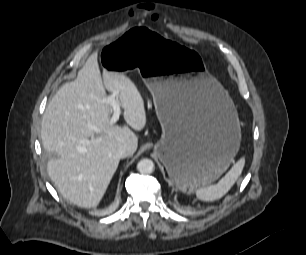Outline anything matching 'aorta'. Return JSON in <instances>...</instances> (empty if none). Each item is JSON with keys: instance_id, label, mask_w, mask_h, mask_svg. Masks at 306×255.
Wrapping results in <instances>:
<instances>
[{"instance_id": "1", "label": "aorta", "mask_w": 306, "mask_h": 255, "mask_svg": "<svg viewBox=\"0 0 306 255\" xmlns=\"http://www.w3.org/2000/svg\"><path fill=\"white\" fill-rule=\"evenodd\" d=\"M137 169L141 174H151L154 171V163L151 159H142L138 162Z\"/></svg>"}]
</instances>
